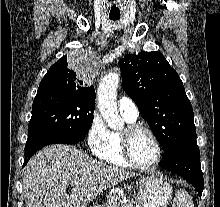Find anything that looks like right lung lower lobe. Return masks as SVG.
I'll return each mask as SVG.
<instances>
[{
  "label": "right lung lower lobe",
  "mask_w": 220,
  "mask_h": 207,
  "mask_svg": "<svg viewBox=\"0 0 220 207\" xmlns=\"http://www.w3.org/2000/svg\"><path fill=\"white\" fill-rule=\"evenodd\" d=\"M83 137H46L38 138L32 141H27L25 145V161L24 165L29 161L31 156H33L42 147L52 144V143H64V144H75L83 140Z\"/></svg>",
  "instance_id": "right-lung-lower-lobe-1"
}]
</instances>
